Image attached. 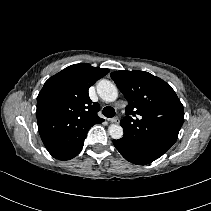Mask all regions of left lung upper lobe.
<instances>
[{"label": "left lung upper lobe", "mask_w": 211, "mask_h": 211, "mask_svg": "<svg viewBox=\"0 0 211 211\" xmlns=\"http://www.w3.org/2000/svg\"><path fill=\"white\" fill-rule=\"evenodd\" d=\"M110 75L128 101L120 122L124 137L158 159L178 138L184 122L182 103L168 83L148 72L121 70Z\"/></svg>", "instance_id": "left-lung-upper-lobe-1"}]
</instances>
